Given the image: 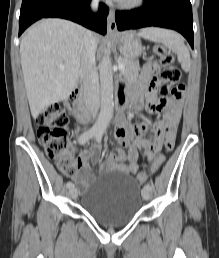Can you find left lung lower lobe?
I'll return each instance as SVG.
<instances>
[{
    "mask_svg": "<svg viewBox=\"0 0 219 258\" xmlns=\"http://www.w3.org/2000/svg\"><path fill=\"white\" fill-rule=\"evenodd\" d=\"M118 30L157 26L180 32L194 47L193 17L190 0H145L143 7L131 11H117Z\"/></svg>",
    "mask_w": 219,
    "mask_h": 258,
    "instance_id": "left-lung-lower-lobe-1",
    "label": "left lung lower lobe"
}]
</instances>
